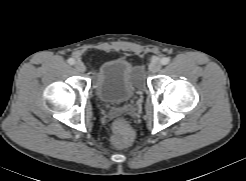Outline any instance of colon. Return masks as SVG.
I'll list each match as a JSON object with an SVG mask.
<instances>
[{"mask_svg":"<svg viewBox=\"0 0 246 181\" xmlns=\"http://www.w3.org/2000/svg\"><path fill=\"white\" fill-rule=\"evenodd\" d=\"M111 142L115 147H124L133 139V130L130 124L123 119H117L111 126Z\"/></svg>","mask_w":246,"mask_h":181,"instance_id":"5ec220e1","label":"colon"}]
</instances>
